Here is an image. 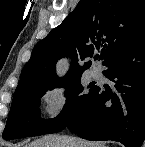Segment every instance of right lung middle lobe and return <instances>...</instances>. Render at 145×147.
I'll return each instance as SVG.
<instances>
[{
	"label": "right lung middle lobe",
	"instance_id": "1",
	"mask_svg": "<svg viewBox=\"0 0 145 147\" xmlns=\"http://www.w3.org/2000/svg\"><path fill=\"white\" fill-rule=\"evenodd\" d=\"M66 88V104L56 118H40V99L47 90L55 87H32L16 91L6 127L2 137L6 140L60 132L85 108L97 86L89 85V92L83 93L81 74L69 78L59 85Z\"/></svg>",
	"mask_w": 145,
	"mask_h": 147
}]
</instances>
